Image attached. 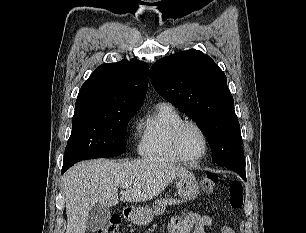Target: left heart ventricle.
Wrapping results in <instances>:
<instances>
[{
  "instance_id": "obj_1",
  "label": "left heart ventricle",
  "mask_w": 306,
  "mask_h": 233,
  "mask_svg": "<svg viewBox=\"0 0 306 233\" xmlns=\"http://www.w3.org/2000/svg\"><path fill=\"white\" fill-rule=\"evenodd\" d=\"M181 148L188 158H196L204 152V140L194 127H187L181 135Z\"/></svg>"
}]
</instances>
